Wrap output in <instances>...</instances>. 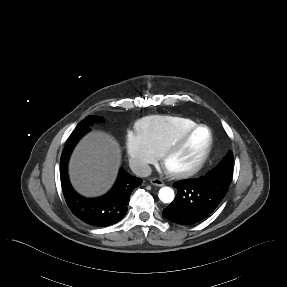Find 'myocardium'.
<instances>
[{
	"label": "myocardium",
	"instance_id": "f54148a6",
	"mask_svg": "<svg viewBox=\"0 0 287 287\" xmlns=\"http://www.w3.org/2000/svg\"><path fill=\"white\" fill-rule=\"evenodd\" d=\"M205 128L209 132V143L201 158L191 167L180 170H171L167 167L168 160L177 153L199 129ZM214 146V135L212 129L204 124H198L179 135L162 153L161 165L167 175L174 179H186L199 172L208 161Z\"/></svg>",
	"mask_w": 287,
	"mask_h": 287
}]
</instances>
